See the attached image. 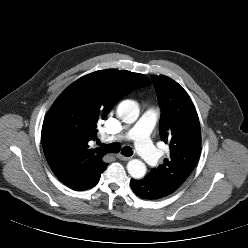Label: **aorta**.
Here are the masks:
<instances>
[{
    "instance_id": "1",
    "label": "aorta",
    "mask_w": 248,
    "mask_h": 248,
    "mask_svg": "<svg viewBox=\"0 0 248 248\" xmlns=\"http://www.w3.org/2000/svg\"><path fill=\"white\" fill-rule=\"evenodd\" d=\"M139 112V106L133 100H124L117 107V115L129 124L137 120ZM127 170L131 177L140 179L146 173V165L138 159H133L127 163Z\"/></svg>"
}]
</instances>
